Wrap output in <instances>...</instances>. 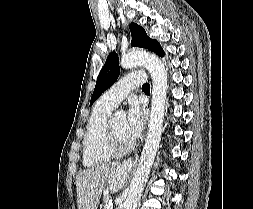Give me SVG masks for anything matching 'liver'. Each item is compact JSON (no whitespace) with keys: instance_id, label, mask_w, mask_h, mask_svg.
Listing matches in <instances>:
<instances>
[{"instance_id":"obj_1","label":"liver","mask_w":253,"mask_h":209,"mask_svg":"<svg viewBox=\"0 0 253 209\" xmlns=\"http://www.w3.org/2000/svg\"><path fill=\"white\" fill-rule=\"evenodd\" d=\"M128 172L125 164L117 162L104 163L82 171L76 177L78 209H97L105 185L114 191L121 189Z\"/></svg>"}]
</instances>
